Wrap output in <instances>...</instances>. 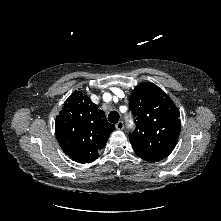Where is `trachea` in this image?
Segmentation results:
<instances>
[{
  "instance_id": "1",
  "label": "trachea",
  "mask_w": 221,
  "mask_h": 221,
  "mask_svg": "<svg viewBox=\"0 0 221 221\" xmlns=\"http://www.w3.org/2000/svg\"><path fill=\"white\" fill-rule=\"evenodd\" d=\"M108 120L109 122L111 123H118L119 121V113L117 111H111L109 114H108Z\"/></svg>"
}]
</instances>
